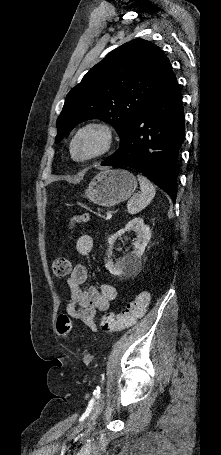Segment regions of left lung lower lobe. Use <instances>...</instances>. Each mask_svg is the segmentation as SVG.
<instances>
[{"label":"left lung lower lobe","instance_id":"obj_1","mask_svg":"<svg viewBox=\"0 0 221 455\" xmlns=\"http://www.w3.org/2000/svg\"><path fill=\"white\" fill-rule=\"evenodd\" d=\"M181 92L172 73L135 118L119 149L101 165H122L147 176L171 196L177 195V162L185 134Z\"/></svg>","mask_w":221,"mask_h":455}]
</instances>
